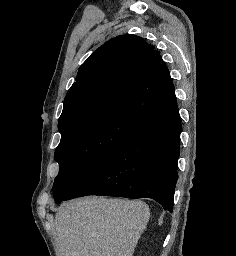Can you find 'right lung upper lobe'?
<instances>
[{
  "instance_id": "cb5924a9",
  "label": "right lung upper lobe",
  "mask_w": 236,
  "mask_h": 256,
  "mask_svg": "<svg viewBox=\"0 0 236 256\" xmlns=\"http://www.w3.org/2000/svg\"><path fill=\"white\" fill-rule=\"evenodd\" d=\"M176 104L169 70L159 52L136 35L117 36L94 51L69 89L58 127L126 111L144 122Z\"/></svg>"
}]
</instances>
